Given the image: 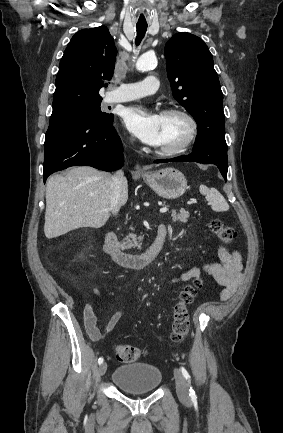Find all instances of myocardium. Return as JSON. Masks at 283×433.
I'll return each instance as SVG.
<instances>
[{"instance_id":"obj_1","label":"myocardium","mask_w":283,"mask_h":433,"mask_svg":"<svg viewBox=\"0 0 283 433\" xmlns=\"http://www.w3.org/2000/svg\"><path fill=\"white\" fill-rule=\"evenodd\" d=\"M162 115H180L185 118L189 124V134L187 138L177 148L167 151H161V155L164 157L180 156L186 151H188L195 142L199 132V123L188 110L180 107L166 108L162 111Z\"/></svg>"}]
</instances>
